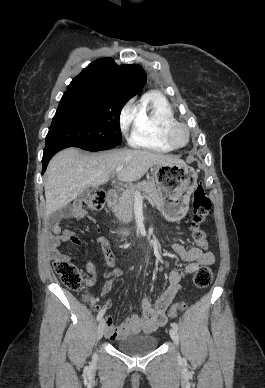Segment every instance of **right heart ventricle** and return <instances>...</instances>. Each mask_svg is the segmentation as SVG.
<instances>
[{
	"label": "right heart ventricle",
	"mask_w": 265,
	"mask_h": 388,
	"mask_svg": "<svg viewBox=\"0 0 265 388\" xmlns=\"http://www.w3.org/2000/svg\"><path fill=\"white\" fill-rule=\"evenodd\" d=\"M157 96L158 93L152 91L137 106L131 140L137 146L169 151L173 146L167 139L166 128L173 120V111L166 100Z\"/></svg>",
	"instance_id": "1"
}]
</instances>
